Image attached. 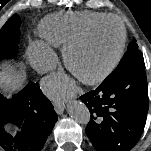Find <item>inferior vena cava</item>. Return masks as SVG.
Masks as SVG:
<instances>
[{"instance_id":"obj_1","label":"inferior vena cava","mask_w":151,"mask_h":151,"mask_svg":"<svg viewBox=\"0 0 151 151\" xmlns=\"http://www.w3.org/2000/svg\"><path fill=\"white\" fill-rule=\"evenodd\" d=\"M56 67V61L53 58L47 59L43 63V68L45 71L53 70Z\"/></svg>"}]
</instances>
